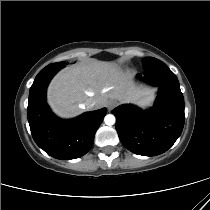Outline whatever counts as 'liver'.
<instances>
[{"label":"liver","mask_w":210,"mask_h":210,"mask_svg":"<svg viewBox=\"0 0 210 210\" xmlns=\"http://www.w3.org/2000/svg\"><path fill=\"white\" fill-rule=\"evenodd\" d=\"M47 97L57 115L69 118L88 110L85 102L89 98L100 109L109 99L145 104L153 100L154 91L136 86L133 75L113 63L91 60L60 71L51 81Z\"/></svg>","instance_id":"liver-1"}]
</instances>
